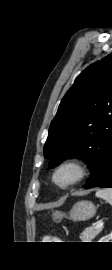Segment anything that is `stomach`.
<instances>
[{"label": "stomach", "instance_id": "1", "mask_svg": "<svg viewBox=\"0 0 112 270\" xmlns=\"http://www.w3.org/2000/svg\"><path fill=\"white\" fill-rule=\"evenodd\" d=\"M96 214V207L91 201L77 202L69 212V216L73 221H86L91 219ZM55 219L66 217L65 213L55 211L53 213Z\"/></svg>", "mask_w": 112, "mask_h": 270}]
</instances>
